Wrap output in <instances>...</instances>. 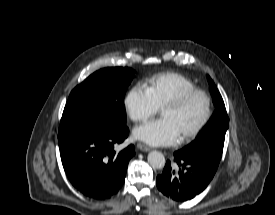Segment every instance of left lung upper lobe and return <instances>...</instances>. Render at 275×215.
<instances>
[{
	"label": "left lung upper lobe",
	"mask_w": 275,
	"mask_h": 215,
	"mask_svg": "<svg viewBox=\"0 0 275 215\" xmlns=\"http://www.w3.org/2000/svg\"><path fill=\"white\" fill-rule=\"evenodd\" d=\"M208 82L216 108L215 112L196 138L179 152L218 166L223 152L225 134L229 126V118L223 99L209 76Z\"/></svg>",
	"instance_id": "obj_1"
}]
</instances>
